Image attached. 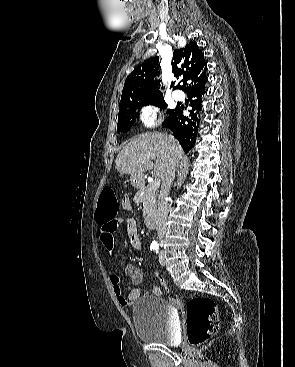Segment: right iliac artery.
<instances>
[{"mask_svg":"<svg viewBox=\"0 0 295 367\" xmlns=\"http://www.w3.org/2000/svg\"><path fill=\"white\" fill-rule=\"evenodd\" d=\"M157 248H158V245H151V246H150V249H151V250H155V249H157Z\"/></svg>","mask_w":295,"mask_h":367,"instance_id":"right-iliac-artery-1","label":"right iliac artery"}]
</instances>
